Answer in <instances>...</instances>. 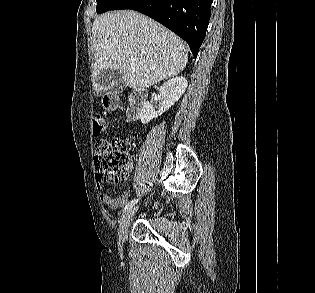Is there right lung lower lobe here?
<instances>
[{
    "label": "right lung lower lobe",
    "instance_id": "1",
    "mask_svg": "<svg viewBox=\"0 0 315 293\" xmlns=\"http://www.w3.org/2000/svg\"><path fill=\"white\" fill-rule=\"evenodd\" d=\"M212 0H118L109 10L133 9L160 22L189 45L196 58L205 38Z\"/></svg>",
    "mask_w": 315,
    "mask_h": 293
}]
</instances>
